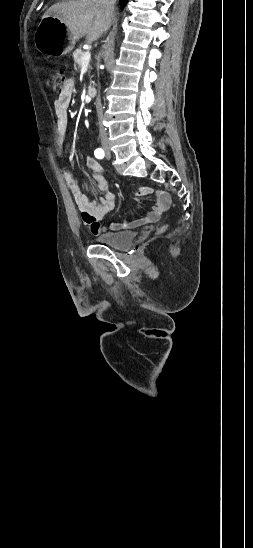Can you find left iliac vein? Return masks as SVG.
<instances>
[{
  "label": "left iliac vein",
  "mask_w": 253,
  "mask_h": 548,
  "mask_svg": "<svg viewBox=\"0 0 253 548\" xmlns=\"http://www.w3.org/2000/svg\"><path fill=\"white\" fill-rule=\"evenodd\" d=\"M110 157H111L110 151H109V150H106V158H107V159H110Z\"/></svg>",
  "instance_id": "left-iliac-vein-1"
}]
</instances>
